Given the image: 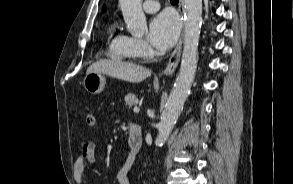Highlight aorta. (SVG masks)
<instances>
[{
	"instance_id": "1",
	"label": "aorta",
	"mask_w": 293,
	"mask_h": 184,
	"mask_svg": "<svg viewBox=\"0 0 293 184\" xmlns=\"http://www.w3.org/2000/svg\"><path fill=\"white\" fill-rule=\"evenodd\" d=\"M141 2L142 0H119L128 31L134 36H141L147 30L146 17ZM183 2L185 34L181 66L157 127V143H164L174 128L190 93L197 68L198 43L202 24V0H183Z\"/></svg>"
}]
</instances>
